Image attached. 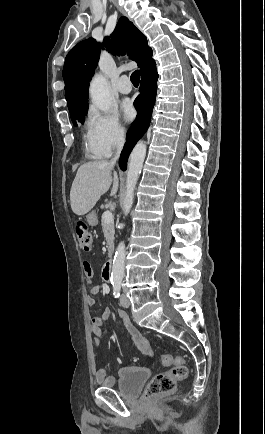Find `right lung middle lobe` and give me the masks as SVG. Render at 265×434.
Listing matches in <instances>:
<instances>
[{
	"label": "right lung middle lobe",
	"instance_id": "1",
	"mask_svg": "<svg viewBox=\"0 0 265 434\" xmlns=\"http://www.w3.org/2000/svg\"><path fill=\"white\" fill-rule=\"evenodd\" d=\"M68 108L73 121L77 120L78 122L84 123L85 115L88 110V99L69 103ZM74 124H76L75 121Z\"/></svg>",
	"mask_w": 265,
	"mask_h": 434
}]
</instances>
